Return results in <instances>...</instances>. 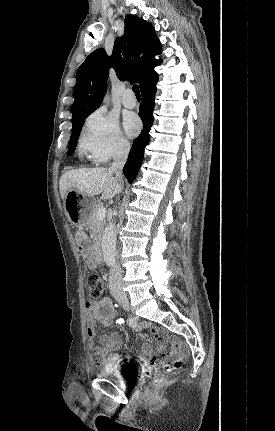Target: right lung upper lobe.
I'll use <instances>...</instances> for the list:
<instances>
[{"instance_id":"cb5924a9","label":"right lung upper lobe","mask_w":275,"mask_h":431,"mask_svg":"<svg viewBox=\"0 0 275 431\" xmlns=\"http://www.w3.org/2000/svg\"><path fill=\"white\" fill-rule=\"evenodd\" d=\"M162 51L161 43L151 24L134 15L125 17V31L114 43L108 57L104 49L92 52L76 73L72 104V125L85 120L102 102L106 90L109 67L119 79L139 83L141 91L158 80L154 67L161 61L154 58Z\"/></svg>"}]
</instances>
